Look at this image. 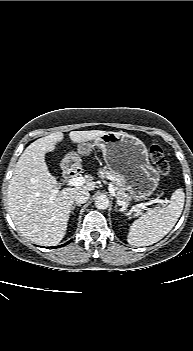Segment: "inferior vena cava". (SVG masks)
I'll return each mask as SVG.
<instances>
[{
  "instance_id": "obj_1",
  "label": "inferior vena cava",
  "mask_w": 193,
  "mask_h": 351,
  "mask_svg": "<svg viewBox=\"0 0 193 351\" xmlns=\"http://www.w3.org/2000/svg\"><path fill=\"white\" fill-rule=\"evenodd\" d=\"M90 197V194L87 190H80L79 192H77V194L75 195L74 201L77 204H84L88 201Z\"/></svg>"
}]
</instances>
